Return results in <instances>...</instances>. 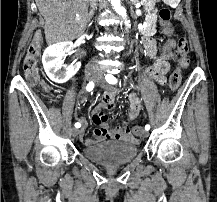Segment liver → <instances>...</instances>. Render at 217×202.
<instances>
[{
  "label": "liver",
  "instance_id": "6515ba94",
  "mask_svg": "<svg viewBox=\"0 0 217 202\" xmlns=\"http://www.w3.org/2000/svg\"><path fill=\"white\" fill-rule=\"evenodd\" d=\"M45 20L44 32L48 46L76 40L84 34L88 20L89 0H35ZM81 20H76V16Z\"/></svg>",
  "mask_w": 217,
  "mask_h": 202
}]
</instances>
